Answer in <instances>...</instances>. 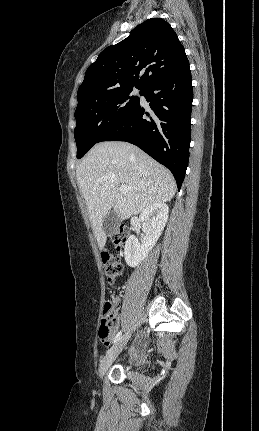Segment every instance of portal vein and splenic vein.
Returning <instances> with one entry per match:
<instances>
[{"label":"portal vein and splenic vein","instance_id":"portal-vein-and-splenic-vein-1","mask_svg":"<svg viewBox=\"0 0 259 431\" xmlns=\"http://www.w3.org/2000/svg\"><path fill=\"white\" fill-rule=\"evenodd\" d=\"M130 190V187L126 186L125 184H121L119 186V191L121 193H127Z\"/></svg>","mask_w":259,"mask_h":431}]
</instances>
